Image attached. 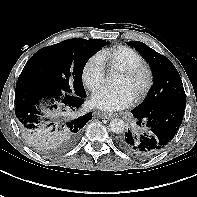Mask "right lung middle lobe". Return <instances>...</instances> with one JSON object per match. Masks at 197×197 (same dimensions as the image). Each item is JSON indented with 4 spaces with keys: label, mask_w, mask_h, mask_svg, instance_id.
Returning <instances> with one entry per match:
<instances>
[{
    "label": "right lung middle lobe",
    "mask_w": 197,
    "mask_h": 197,
    "mask_svg": "<svg viewBox=\"0 0 197 197\" xmlns=\"http://www.w3.org/2000/svg\"><path fill=\"white\" fill-rule=\"evenodd\" d=\"M108 43L74 38L38 50L26 63L23 74L55 82L64 94L86 97L82 73L88 59Z\"/></svg>",
    "instance_id": "obj_1"
}]
</instances>
